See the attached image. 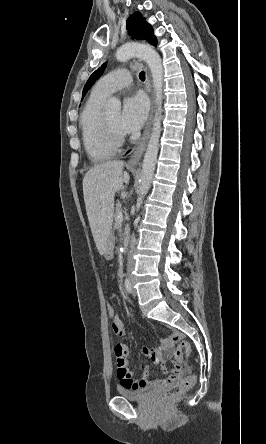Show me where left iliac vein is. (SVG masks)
<instances>
[{"label":"left iliac vein","instance_id":"left-iliac-vein-1","mask_svg":"<svg viewBox=\"0 0 266 444\" xmlns=\"http://www.w3.org/2000/svg\"><path fill=\"white\" fill-rule=\"evenodd\" d=\"M133 294L136 295V291L135 290H133Z\"/></svg>","mask_w":266,"mask_h":444}]
</instances>
